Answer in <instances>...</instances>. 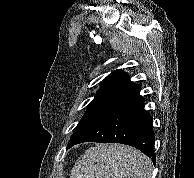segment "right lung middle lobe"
<instances>
[{"label":"right lung middle lobe","mask_w":194,"mask_h":178,"mask_svg":"<svg viewBox=\"0 0 194 178\" xmlns=\"http://www.w3.org/2000/svg\"><path fill=\"white\" fill-rule=\"evenodd\" d=\"M122 105L124 104L116 101L93 100L88 105L87 111L82 117L81 121L74 129L68 147L79 140L86 132H88Z\"/></svg>","instance_id":"right-lung-middle-lobe-1"}]
</instances>
